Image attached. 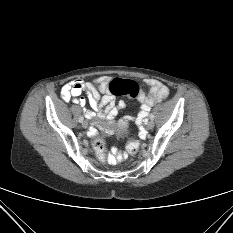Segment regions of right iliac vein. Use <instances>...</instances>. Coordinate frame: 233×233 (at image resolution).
I'll return each instance as SVG.
<instances>
[{
  "instance_id": "right-iliac-vein-1",
  "label": "right iliac vein",
  "mask_w": 233,
  "mask_h": 233,
  "mask_svg": "<svg viewBox=\"0 0 233 233\" xmlns=\"http://www.w3.org/2000/svg\"><path fill=\"white\" fill-rule=\"evenodd\" d=\"M82 127L83 128H87L88 127V122L87 121H83L82 122Z\"/></svg>"
}]
</instances>
